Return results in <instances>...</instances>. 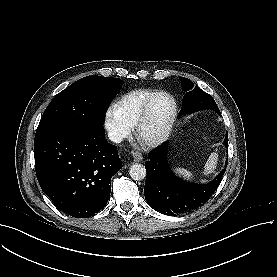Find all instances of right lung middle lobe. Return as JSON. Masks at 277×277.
<instances>
[{
	"instance_id": "right-lung-middle-lobe-1",
	"label": "right lung middle lobe",
	"mask_w": 277,
	"mask_h": 277,
	"mask_svg": "<svg viewBox=\"0 0 277 277\" xmlns=\"http://www.w3.org/2000/svg\"><path fill=\"white\" fill-rule=\"evenodd\" d=\"M122 84L119 78L96 75L79 79L49 103L36 132L59 127L103 126L109 104Z\"/></svg>"
}]
</instances>
